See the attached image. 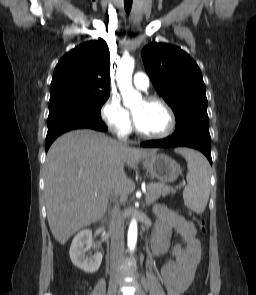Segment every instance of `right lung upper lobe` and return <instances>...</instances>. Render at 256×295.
<instances>
[{
    "label": "right lung upper lobe",
    "instance_id": "cb5924a9",
    "mask_svg": "<svg viewBox=\"0 0 256 295\" xmlns=\"http://www.w3.org/2000/svg\"><path fill=\"white\" fill-rule=\"evenodd\" d=\"M50 100L109 96L110 52L105 41L85 42L65 54L53 73Z\"/></svg>",
    "mask_w": 256,
    "mask_h": 295
}]
</instances>
